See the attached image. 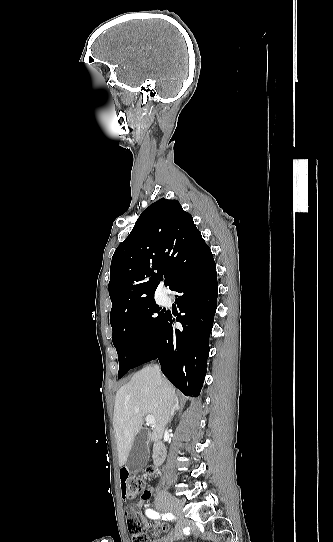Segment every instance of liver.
<instances>
[{"instance_id":"1","label":"liver","mask_w":333,"mask_h":542,"mask_svg":"<svg viewBox=\"0 0 333 542\" xmlns=\"http://www.w3.org/2000/svg\"><path fill=\"white\" fill-rule=\"evenodd\" d=\"M178 398L175 388L153 366L136 372L128 384L115 396L113 428L115 432L119 466H125L134 440L142 428L144 416H154L150 442L162 440L171 410Z\"/></svg>"}]
</instances>
